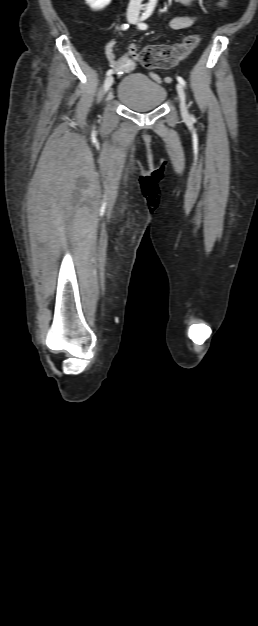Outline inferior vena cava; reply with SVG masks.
Here are the masks:
<instances>
[{
	"mask_svg": "<svg viewBox=\"0 0 258 626\" xmlns=\"http://www.w3.org/2000/svg\"><path fill=\"white\" fill-rule=\"evenodd\" d=\"M142 0H130L127 15L138 17L141 9Z\"/></svg>",
	"mask_w": 258,
	"mask_h": 626,
	"instance_id": "obj_1",
	"label": "inferior vena cava"
}]
</instances>
